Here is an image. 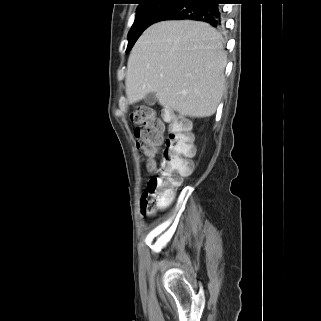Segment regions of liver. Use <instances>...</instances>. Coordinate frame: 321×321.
Returning <instances> with one entry per match:
<instances>
[{
    "label": "liver",
    "mask_w": 321,
    "mask_h": 321,
    "mask_svg": "<svg viewBox=\"0 0 321 321\" xmlns=\"http://www.w3.org/2000/svg\"><path fill=\"white\" fill-rule=\"evenodd\" d=\"M227 63L221 35L203 22L163 21L134 45L126 71L129 103L155 93L159 104L189 117L212 116L221 101Z\"/></svg>",
    "instance_id": "liver-1"
}]
</instances>
